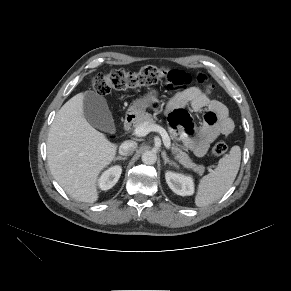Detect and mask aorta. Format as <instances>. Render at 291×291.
<instances>
[{
  "label": "aorta",
  "mask_w": 291,
  "mask_h": 291,
  "mask_svg": "<svg viewBox=\"0 0 291 291\" xmlns=\"http://www.w3.org/2000/svg\"><path fill=\"white\" fill-rule=\"evenodd\" d=\"M157 155L153 151H145L142 154V162L147 165H153L156 163Z\"/></svg>",
  "instance_id": "obj_1"
}]
</instances>
